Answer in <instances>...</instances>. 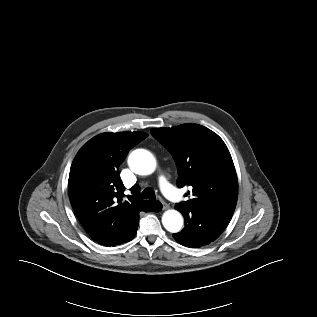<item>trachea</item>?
Masks as SVG:
<instances>
[{
	"mask_svg": "<svg viewBox=\"0 0 317 317\" xmlns=\"http://www.w3.org/2000/svg\"><path fill=\"white\" fill-rule=\"evenodd\" d=\"M141 199H150L154 201L156 199L155 192L152 188H145L141 193Z\"/></svg>",
	"mask_w": 317,
	"mask_h": 317,
	"instance_id": "obj_1",
	"label": "trachea"
}]
</instances>
